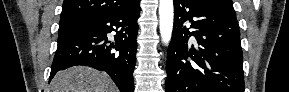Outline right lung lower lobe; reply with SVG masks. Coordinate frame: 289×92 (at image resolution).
Instances as JSON below:
<instances>
[{"instance_id": "right-lung-lower-lobe-1", "label": "right lung lower lobe", "mask_w": 289, "mask_h": 92, "mask_svg": "<svg viewBox=\"0 0 289 92\" xmlns=\"http://www.w3.org/2000/svg\"><path fill=\"white\" fill-rule=\"evenodd\" d=\"M139 3L136 0L126 8L90 19L58 39L49 80L60 70L85 65L107 72L121 92H134ZM112 31L116 32L114 40H108L107 33Z\"/></svg>"}]
</instances>
